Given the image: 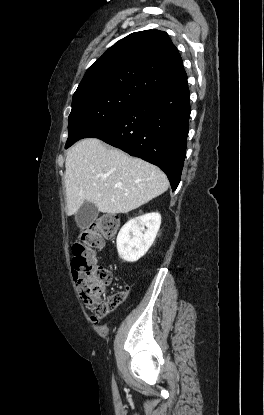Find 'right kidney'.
<instances>
[{
    "instance_id": "obj_1",
    "label": "right kidney",
    "mask_w": 264,
    "mask_h": 415,
    "mask_svg": "<svg viewBox=\"0 0 264 415\" xmlns=\"http://www.w3.org/2000/svg\"><path fill=\"white\" fill-rule=\"evenodd\" d=\"M160 224L161 215L157 212L129 220L117 236L119 257L127 262H136L144 256L153 244Z\"/></svg>"
}]
</instances>
